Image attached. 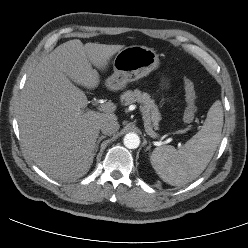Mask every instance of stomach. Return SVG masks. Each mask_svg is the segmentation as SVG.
Returning <instances> with one entry per match:
<instances>
[{
	"mask_svg": "<svg viewBox=\"0 0 248 248\" xmlns=\"http://www.w3.org/2000/svg\"><path fill=\"white\" fill-rule=\"evenodd\" d=\"M159 66V56L146 46L133 45L120 50L113 60V74L106 80L112 90H119L127 83L147 76Z\"/></svg>",
	"mask_w": 248,
	"mask_h": 248,
	"instance_id": "obj_1",
	"label": "stomach"
}]
</instances>
